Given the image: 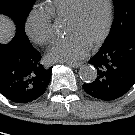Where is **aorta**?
Returning <instances> with one entry per match:
<instances>
[{"mask_svg":"<svg viewBox=\"0 0 135 135\" xmlns=\"http://www.w3.org/2000/svg\"><path fill=\"white\" fill-rule=\"evenodd\" d=\"M79 75L84 82L91 83L97 78V70L90 64H84L80 67Z\"/></svg>","mask_w":135,"mask_h":135,"instance_id":"1","label":"aorta"}]
</instances>
